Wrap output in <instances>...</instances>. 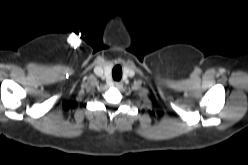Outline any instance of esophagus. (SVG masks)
I'll return each mask as SVG.
<instances>
[{"label":"esophagus","mask_w":248,"mask_h":165,"mask_svg":"<svg viewBox=\"0 0 248 165\" xmlns=\"http://www.w3.org/2000/svg\"><path fill=\"white\" fill-rule=\"evenodd\" d=\"M113 85H114V87L120 89V88H122L123 83L122 82H114Z\"/></svg>","instance_id":"1"}]
</instances>
